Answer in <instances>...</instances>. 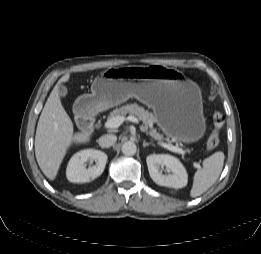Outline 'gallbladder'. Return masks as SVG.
I'll list each match as a JSON object with an SVG mask.
<instances>
[{"label":"gallbladder","mask_w":261,"mask_h":254,"mask_svg":"<svg viewBox=\"0 0 261 254\" xmlns=\"http://www.w3.org/2000/svg\"><path fill=\"white\" fill-rule=\"evenodd\" d=\"M58 93H59L60 96L65 97L68 93V90L64 85H60L58 87Z\"/></svg>","instance_id":"gallbladder-1"}]
</instances>
